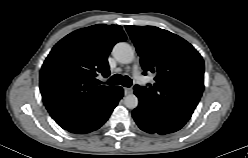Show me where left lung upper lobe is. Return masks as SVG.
I'll use <instances>...</instances> for the list:
<instances>
[{"label":"left lung upper lobe","instance_id":"5c2ea615","mask_svg":"<svg viewBox=\"0 0 248 158\" xmlns=\"http://www.w3.org/2000/svg\"><path fill=\"white\" fill-rule=\"evenodd\" d=\"M143 70L156 76L149 87L134 86L139 100L180 124L192 116L204 89V61L183 38L154 26H126Z\"/></svg>","mask_w":248,"mask_h":158}]
</instances>
